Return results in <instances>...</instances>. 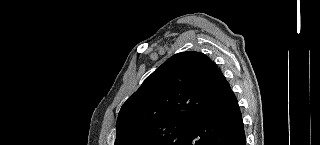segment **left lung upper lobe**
<instances>
[{"instance_id":"left-lung-upper-lobe-1","label":"left lung upper lobe","mask_w":320,"mask_h":145,"mask_svg":"<svg viewBox=\"0 0 320 145\" xmlns=\"http://www.w3.org/2000/svg\"><path fill=\"white\" fill-rule=\"evenodd\" d=\"M216 68L196 51L170 57L122 106L114 145H184L208 107V82Z\"/></svg>"}]
</instances>
